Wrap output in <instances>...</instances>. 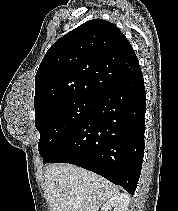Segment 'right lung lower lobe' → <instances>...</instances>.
I'll return each mask as SVG.
<instances>
[{
  "label": "right lung lower lobe",
  "mask_w": 178,
  "mask_h": 211,
  "mask_svg": "<svg viewBox=\"0 0 178 211\" xmlns=\"http://www.w3.org/2000/svg\"><path fill=\"white\" fill-rule=\"evenodd\" d=\"M146 92L142 72L97 99L85 120L45 158L93 171L134 194L143 162Z\"/></svg>",
  "instance_id": "obj_1"
}]
</instances>
